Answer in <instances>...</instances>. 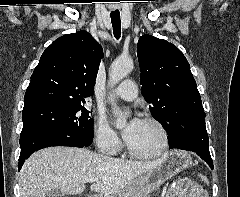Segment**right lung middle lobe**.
Returning a JSON list of instances; mask_svg holds the SVG:
<instances>
[{
    "label": "right lung middle lobe",
    "mask_w": 240,
    "mask_h": 197,
    "mask_svg": "<svg viewBox=\"0 0 240 197\" xmlns=\"http://www.w3.org/2000/svg\"><path fill=\"white\" fill-rule=\"evenodd\" d=\"M89 113L82 104L43 105L23 111V129H52L89 146L93 141V119Z\"/></svg>",
    "instance_id": "right-lung-middle-lobe-1"
}]
</instances>
